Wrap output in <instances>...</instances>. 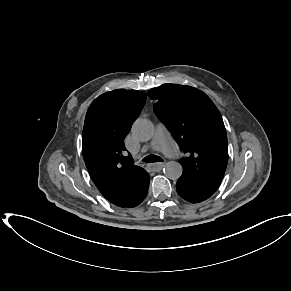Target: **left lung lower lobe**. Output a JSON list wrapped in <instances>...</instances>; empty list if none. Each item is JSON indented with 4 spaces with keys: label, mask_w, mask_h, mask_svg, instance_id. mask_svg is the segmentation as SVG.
Instances as JSON below:
<instances>
[{
    "label": "left lung lower lobe",
    "mask_w": 291,
    "mask_h": 291,
    "mask_svg": "<svg viewBox=\"0 0 291 291\" xmlns=\"http://www.w3.org/2000/svg\"><path fill=\"white\" fill-rule=\"evenodd\" d=\"M176 190L183 199L191 203L202 202L215 192L183 176L176 183Z\"/></svg>",
    "instance_id": "left-lung-lower-lobe-1"
}]
</instances>
